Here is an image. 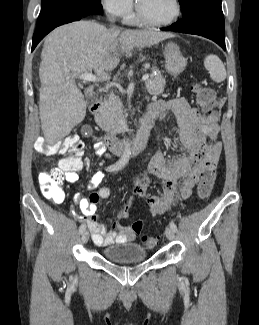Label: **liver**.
Wrapping results in <instances>:
<instances>
[{
    "instance_id": "liver-1",
    "label": "liver",
    "mask_w": 259,
    "mask_h": 325,
    "mask_svg": "<svg viewBox=\"0 0 259 325\" xmlns=\"http://www.w3.org/2000/svg\"><path fill=\"white\" fill-rule=\"evenodd\" d=\"M173 37L156 30L121 32L85 20L52 31L45 38L39 68V115L46 141L54 144L63 139L85 118L87 103L76 77L93 70L98 81H108L121 53L130 57L135 47H151ZM93 90V85L87 87L85 95Z\"/></svg>"
}]
</instances>
